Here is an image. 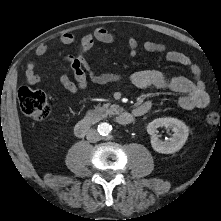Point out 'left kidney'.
Segmentation results:
<instances>
[{
  "mask_svg": "<svg viewBox=\"0 0 221 221\" xmlns=\"http://www.w3.org/2000/svg\"><path fill=\"white\" fill-rule=\"evenodd\" d=\"M166 127L173 131L172 137L168 141H162L157 137V128ZM147 132L151 135L152 148L162 154H171L179 151L185 144L189 129L184 122L176 118H157L147 126Z\"/></svg>",
  "mask_w": 221,
  "mask_h": 221,
  "instance_id": "obj_1",
  "label": "left kidney"
}]
</instances>
